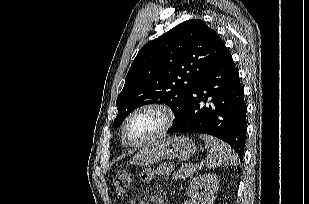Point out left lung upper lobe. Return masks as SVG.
<instances>
[{
    "label": "left lung upper lobe",
    "instance_id": "left-lung-upper-lobe-1",
    "mask_svg": "<svg viewBox=\"0 0 309 204\" xmlns=\"http://www.w3.org/2000/svg\"><path fill=\"white\" fill-rule=\"evenodd\" d=\"M226 47L202 20L182 22L140 49L119 94L114 126L134 109L167 104L176 115L188 102L200 78L221 60Z\"/></svg>",
    "mask_w": 309,
    "mask_h": 204
}]
</instances>
